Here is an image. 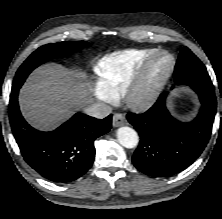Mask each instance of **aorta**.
Segmentation results:
<instances>
[{"mask_svg":"<svg viewBox=\"0 0 222 219\" xmlns=\"http://www.w3.org/2000/svg\"><path fill=\"white\" fill-rule=\"evenodd\" d=\"M117 140L125 148H134L138 145L139 137L134 129L123 126L117 130Z\"/></svg>","mask_w":222,"mask_h":219,"instance_id":"obj_1","label":"aorta"}]
</instances>
